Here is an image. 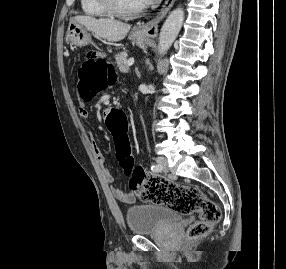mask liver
Returning <instances> with one entry per match:
<instances>
[{"instance_id": "liver-1", "label": "liver", "mask_w": 286, "mask_h": 269, "mask_svg": "<svg viewBox=\"0 0 286 269\" xmlns=\"http://www.w3.org/2000/svg\"><path fill=\"white\" fill-rule=\"evenodd\" d=\"M73 20L110 42L124 39L131 28L129 24L120 21L104 18L96 19L91 16L79 15L75 16Z\"/></svg>"}]
</instances>
